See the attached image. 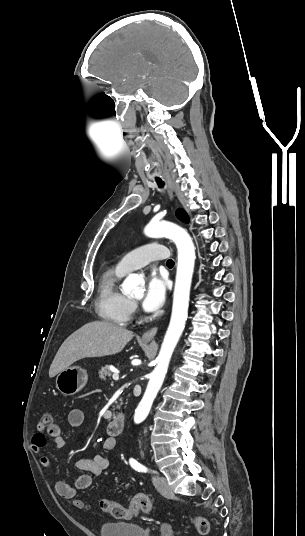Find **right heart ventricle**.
Masks as SVG:
<instances>
[{"mask_svg": "<svg viewBox=\"0 0 305 536\" xmlns=\"http://www.w3.org/2000/svg\"><path fill=\"white\" fill-rule=\"evenodd\" d=\"M125 274L117 268L105 271L100 279L96 299L100 316L122 327L129 324L132 315L130 300L117 288L119 279Z\"/></svg>", "mask_w": 305, "mask_h": 536, "instance_id": "obj_1", "label": "right heart ventricle"}]
</instances>
